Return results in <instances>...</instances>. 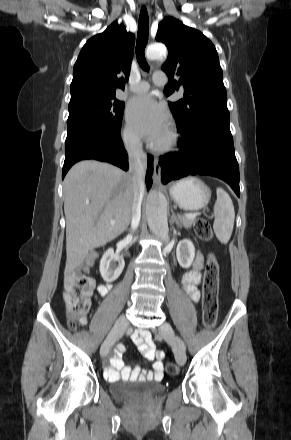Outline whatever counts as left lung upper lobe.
I'll use <instances>...</instances> for the list:
<instances>
[{
  "label": "left lung upper lobe",
  "instance_id": "5c2ea615",
  "mask_svg": "<svg viewBox=\"0 0 291 440\" xmlns=\"http://www.w3.org/2000/svg\"><path fill=\"white\" fill-rule=\"evenodd\" d=\"M156 40L169 50L163 71L169 78L179 77L165 86L166 95L184 89L183 99L169 102L178 131L185 132L202 119L229 117L223 72L212 42L173 17L159 23Z\"/></svg>",
  "mask_w": 291,
  "mask_h": 440
}]
</instances>
